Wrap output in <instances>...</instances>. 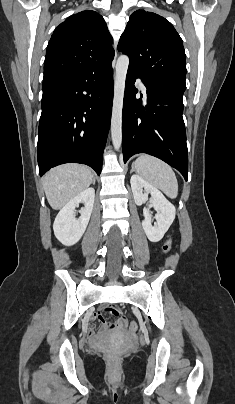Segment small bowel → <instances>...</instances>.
Masks as SVG:
<instances>
[{"instance_id":"c3829d8e","label":"small bowel","mask_w":235,"mask_h":404,"mask_svg":"<svg viewBox=\"0 0 235 404\" xmlns=\"http://www.w3.org/2000/svg\"><path fill=\"white\" fill-rule=\"evenodd\" d=\"M103 312H105V308H102V309L98 310L97 312H95L94 314H92L91 318L92 319H94V318H100L101 319ZM117 329H119V328H117ZM117 329H114V330H117ZM88 332H89L90 335L94 334V326L93 325H89Z\"/></svg>"}]
</instances>
